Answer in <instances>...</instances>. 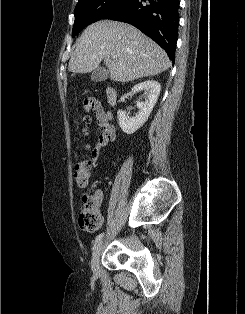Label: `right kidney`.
I'll return each mask as SVG.
<instances>
[{"label":"right kidney","mask_w":245,"mask_h":314,"mask_svg":"<svg viewBox=\"0 0 245 314\" xmlns=\"http://www.w3.org/2000/svg\"><path fill=\"white\" fill-rule=\"evenodd\" d=\"M141 90H144L145 101L137 103L139 111L135 117L129 118L126 113L121 110L117 112V118L121 130L129 135L136 132L147 121L158 100L161 86L157 81L148 80L135 85L132 88V93L135 94Z\"/></svg>","instance_id":"1"}]
</instances>
